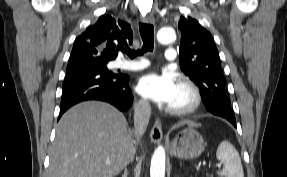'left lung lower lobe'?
<instances>
[{"label": "left lung lower lobe", "mask_w": 287, "mask_h": 177, "mask_svg": "<svg viewBox=\"0 0 287 177\" xmlns=\"http://www.w3.org/2000/svg\"><path fill=\"white\" fill-rule=\"evenodd\" d=\"M227 100L223 98L221 95L216 96L213 100L210 106L207 108L209 112H211L214 115L221 116L223 118H226L228 121H230L234 126H236L235 118L233 114H228L225 111V103Z\"/></svg>", "instance_id": "obj_1"}]
</instances>
